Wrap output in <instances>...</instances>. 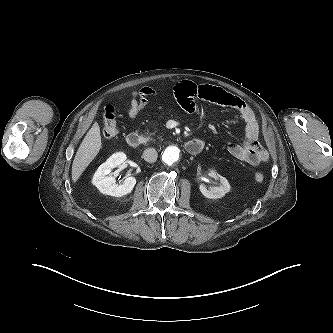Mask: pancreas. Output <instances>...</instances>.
I'll use <instances>...</instances> for the list:
<instances>
[{
    "label": "pancreas",
    "mask_w": 333,
    "mask_h": 333,
    "mask_svg": "<svg viewBox=\"0 0 333 333\" xmlns=\"http://www.w3.org/2000/svg\"><path fill=\"white\" fill-rule=\"evenodd\" d=\"M152 135H154V133H147V137L145 138V141H146V142H148V141H152V140H153Z\"/></svg>",
    "instance_id": "obj_1"
}]
</instances>
